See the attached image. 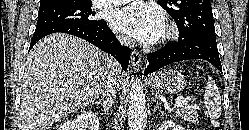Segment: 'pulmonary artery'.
I'll return each mask as SVG.
<instances>
[{
  "label": "pulmonary artery",
  "instance_id": "obj_1",
  "mask_svg": "<svg viewBox=\"0 0 249 130\" xmlns=\"http://www.w3.org/2000/svg\"><path fill=\"white\" fill-rule=\"evenodd\" d=\"M130 0H96V5L99 7L103 6H117L121 4H125Z\"/></svg>",
  "mask_w": 249,
  "mask_h": 130
}]
</instances>
